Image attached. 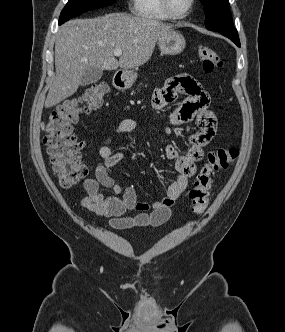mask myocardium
Segmentation results:
<instances>
[{"instance_id":"f54148a6","label":"myocardium","mask_w":285,"mask_h":332,"mask_svg":"<svg viewBox=\"0 0 285 332\" xmlns=\"http://www.w3.org/2000/svg\"><path fill=\"white\" fill-rule=\"evenodd\" d=\"M164 10L174 19L186 18L195 6L196 0H190L189 7L183 13H178L172 6L171 0H161Z\"/></svg>"}]
</instances>
